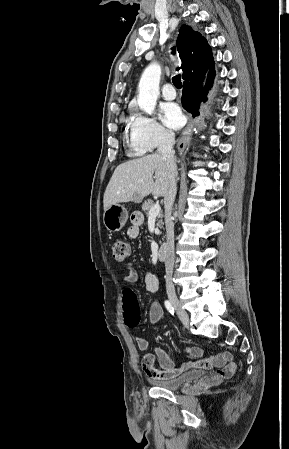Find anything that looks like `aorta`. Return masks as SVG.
<instances>
[{"label": "aorta", "instance_id": "762f6f07", "mask_svg": "<svg viewBox=\"0 0 289 449\" xmlns=\"http://www.w3.org/2000/svg\"><path fill=\"white\" fill-rule=\"evenodd\" d=\"M161 77V67L158 63H150L144 70L138 90V105L141 110L151 115L154 112L156 101L159 95V83Z\"/></svg>", "mask_w": 289, "mask_h": 449}]
</instances>
